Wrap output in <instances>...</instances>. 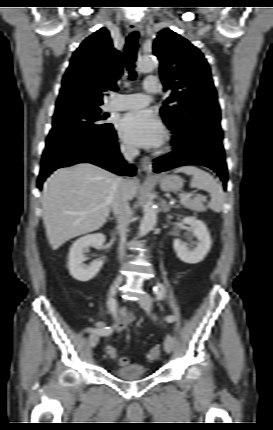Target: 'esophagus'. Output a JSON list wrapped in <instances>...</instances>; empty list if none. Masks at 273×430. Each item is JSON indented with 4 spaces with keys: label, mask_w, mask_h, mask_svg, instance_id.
<instances>
[{
    "label": "esophagus",
    "mask_w": 273,
    "mask_h": 430,
    "mask_svg": "<svg viewBox=\"0 0 273 430\" xmlns=\"http://www.w3.org/2000/svg\"><path fill=\"white\" fill-rule=\"evenodd\" d=\"M127 30L129 32L138 31L139 25L137 23L131 22L127 25ZM141 169L148 175L152 174L153 167L149 157L145 156L141 159Z\"/></svg>",
    "instance_id": "34e87169"
}]
</instances>
